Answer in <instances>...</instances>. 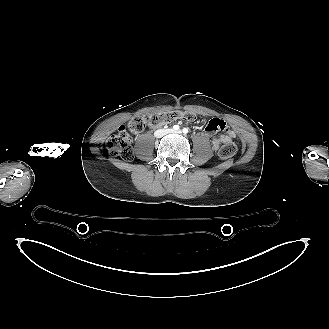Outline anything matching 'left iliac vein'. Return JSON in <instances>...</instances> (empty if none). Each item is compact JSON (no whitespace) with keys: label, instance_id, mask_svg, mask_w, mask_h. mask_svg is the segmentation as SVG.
Listing matches in <instances>:
<instances>
[{"label":"left iliac vein","instance_id":"4c4485c4","mask_svg":"<svg viewBox=\"0 0 329 329\" xmlns=\"http://www.w3.org/2000/svg\"><path fill=\"white\" fill-rule=\"evenodd\" d=\"M168 132H173V133H176V134H180L181 133V131L180 130H176V131H173V130H168Z\"/></svg>","mask_w":329,"mask_h":329}]
</instances>
